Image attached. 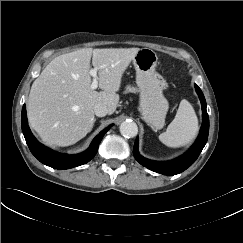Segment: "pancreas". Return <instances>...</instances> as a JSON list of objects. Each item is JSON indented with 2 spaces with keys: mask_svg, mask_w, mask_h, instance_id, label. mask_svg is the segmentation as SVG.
Returning a JSON list of instances; mask_svg holds the SVG:
<instances>
[{
  "mask_svg": "<svg viewBox=\"0 0 243 243\" xmlns=\"http://www.w3.org/2000/svg\"><path fill=\"white\" fill-rule=\"evenodd\" d=\"M127 92H137V89L135 87H131L130 85L126 87Z\"/></svg>",
  "mask_w": 243,
  "mask_h": 243,
  "instance_id": "cf45deb5",
  "label": "pancreas"
}]
</instances>
